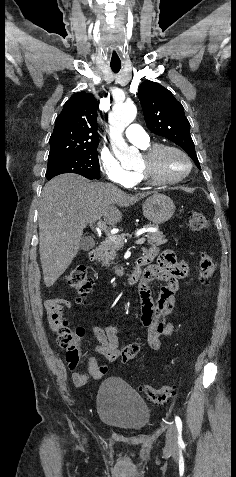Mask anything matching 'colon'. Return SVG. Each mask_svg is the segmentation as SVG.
Segmentation results:
<instances>
[{
	"instance_id": "obj_1",
	"label": "colon",
	"mask_w": 236,
	"mask_h": 477,
	"mask_svg": "<svg viewBox=\"0 0 236 477\" xmlns=\"http://www.w3.org/2000/svg\"><path fill=\"white\" fill-rule=\"evenodd\" d=\"M208 226L209 220L205 214L196 211L189 213L188 229L190 232L198 233L206 230ZM214 269L213 259L209 255H201L199 260V275L204 284L211 278ZM178 272L180 274L186 273L181 263L178 264ZM65 279L67 285L78 294V301H84L92 287V281L86 268L83 265L72 266ZM59 324L60 328L57 333L58 342L66 350V362L69 368L75 369L79 366L82 359V346L80 343L82 332L70 328L63 317L60 318ZM138 351V344H129L122 349L120 360L124 363L129 362L135 358ZM141 389L148 399L158 404L166 403L175 396V387L173 385H166L161 388L144 385Z\"/></svg>"
}]
</instances>
